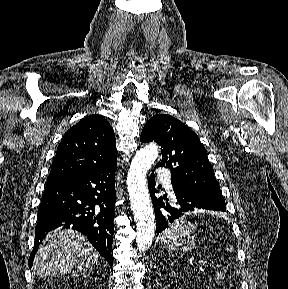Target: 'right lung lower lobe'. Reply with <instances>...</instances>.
<instances>
[{
  "label": "right lung lower lobe",
  "mask_w": 288,
  "mask_h": 289,
  "mask_svg": "<svg viewBox=\"0 0 288 289\" xmlns=\"http://www.w3.org/2000/svg\"><path fill=\"white\" fill-rule=\"evenodd\" d=\"M116 167L117 160L94 171L47 181L29 267L45 235L61 226L82 232L112 266Z\"/></svg>",
  "instance_id": "98d812e1"
}]
</instances>
